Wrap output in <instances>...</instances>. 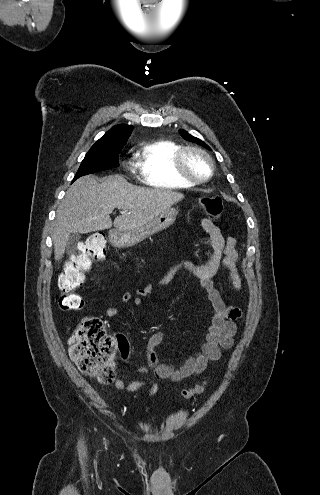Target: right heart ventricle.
Wrapping results in <instances>:
<instances>
[{"mask_svg":"<svg viewBox=\"0 0 320 495\" xmlns=\"http://www.w3.org/2000/svg\"><path fill=\"white\" fill-rule=\"evenodd\" d=\"M180 146L174 141L157 139L143 144L135 154V168L141 180L152 187L181 189L193 184L177 175L174 157Z\"/></svg>","mask_w":320,"mask_h":495,"instance_id":"1","label":"right heart ventricle"}]
</instances>
